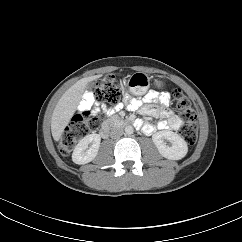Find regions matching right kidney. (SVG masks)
<instances>
[{
	"instance_id": "right-kidney-1",
	"label": "right kidney",
	"mask_w": 242,
	"mask_h": 242,
	"mask_svg": "<svg viewBox=\"0 0 242 242\" xmlns=\"http://www.w3.org/2000/svg\"><path fill=\"white\" fill-rule=\"evenodd\" d=\"M101 137L98 134H90L82 138L74 148L72 160L76 164L91 162L98 154Z\"/></svg>"
}]
</instances>
